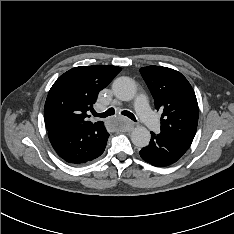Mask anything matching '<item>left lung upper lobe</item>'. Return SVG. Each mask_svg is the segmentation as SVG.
<instances>
[{
	"label": "left lung upper lobe",
	"mask_w": 234,
	"mask_h": 234,
	"mask_svg": "<svg viewBox=\"0 0 234 234\" xmlns=\"http://www.w3.org/2000/svg\"><path fill=\"white\" fill-rule=\"evenodd\" d=\"M140 72L154 98L155 108L163 111L161 133L187 151L198 124V103L192 86L171 68L147 66Z\"/></svg>",
	"instance_id": "1"
}]
</instances>
